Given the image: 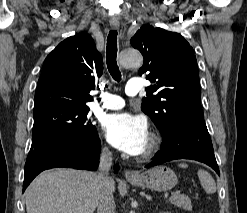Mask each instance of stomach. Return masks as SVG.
<instances>
[{"mask_svg":"<svg viewBox=\"0 0 247 213\" xmlns=\"http://www.w3.org/2000/svg\"><path fill=\"white\" fill-rule=\"evenodd\" d=\"M134 186L149 188L156 191L171 190L178 182L176 174L166 166H156L139 175L137 179H130Z\"/></svg>","mask_w":247,"mask_h":213,"instance_id":"0dacf381","label":"stomach"}]
</instances>
